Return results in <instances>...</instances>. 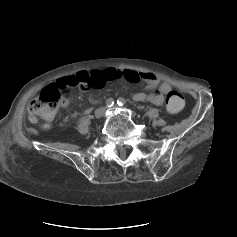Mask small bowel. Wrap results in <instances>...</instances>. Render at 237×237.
I'll return each instance as SVG.
<instances>
[{"mask_svg":"<svg viewBox=\"0 0 237 237\" xmlns=\"http://www.w3.org/2000/svg\"><path fill=\"white\" fill-rule=\"evenodd\" d=\"M101 78V83L93 86L95 89H100L105 86L106 83L114 80H124L130 83H136L138 81H145L148 84V88L156 89L150 94L136 93L133 99L137 102L149 101L154 105L160 106L164 103L165 96L171 91V86L168 82L161 81V79L153 73H138L132 70H119L114 68H108L102 72H95ZM69 102L66 100L62 103L63 107H67Z\"/></svg>","mask_w":237,"mask_h":237,"instance_id":"1","label":"small bowel"}]
</instances>
